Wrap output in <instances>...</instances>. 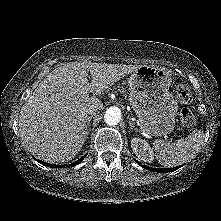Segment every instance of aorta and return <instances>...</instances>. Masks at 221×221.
<instances>
[{
  "instance_id": "obj_1",
  "label": "aorta",
  "mask_w": 221,
  "mask_h": 221,
  "mask_svg": "<svg viewBox=\"0 0 221 221\" xmlns=\"http://www.w3.org/2000/svg\"><path fill=\"white\" fill-rule=\"evenodd\" d=\"M121 120V110L118 107H109L104 115V121L107 125H117Z\"/></svg>"
}]
</instances>
